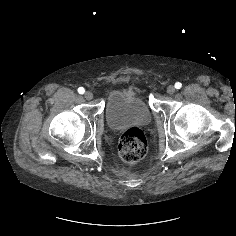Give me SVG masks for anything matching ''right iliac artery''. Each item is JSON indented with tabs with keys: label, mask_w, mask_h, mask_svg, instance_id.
<instances>
[{
	"label": "right iliac artery",
	"mask_w": 236,
	"mask_h": 236,
	"mask_svg": "<svg viewBox=\"0 0 236 236\" xmlns=\"http://www.w3.org/2000/svg\"><path fill=\"white\" fill-rule=\"evenodd\" d=\"M85 92V89L83 87L78 88V93L83 94Z\"/></svg>",
	"instance_id": "82829eb1"
}]
</instances>
